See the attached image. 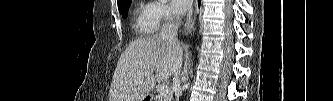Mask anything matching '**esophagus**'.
Returning <instances> with one entry per match:
<instances>
[{
    "label": "esophagus",
    "instance_id": "obj_1",
    "mask_svg": "<svg viewBox=\"0 0 333 101\" xmlns=\"http://www.w3.org/2000/svg\"><path fill=\"white\" fill-rule=\"evenodd\" d=\"M197 12H198V3L197 1H195L194 5L190 8L187 15L186 23L184 25V30H183L184 36H187L189 33L193 31Z\"/></svg>",
    "mask_w": 333,
    "mask_h": 101
}]
</instances>
